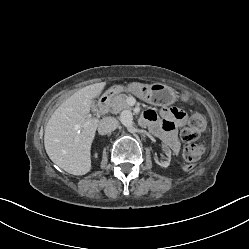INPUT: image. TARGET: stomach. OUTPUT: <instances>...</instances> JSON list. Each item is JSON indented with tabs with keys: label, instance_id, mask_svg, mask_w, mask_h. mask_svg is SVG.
Here are the masks:
<instances>
[{
	"label": "stomach",
	"instance_id": "1",
	"mask_svg": "<svg viewBox=\"0 0 249 249\" xmlns=\"http://www.w3.org/2000/svg\"><path fill=\"white\" fill-rule=\"evenodd\" d=\"M109 91L113 94L126 91L154 106L170 105L177 100L175 91L162 83L145 84L133 82L127 86H111Z\"/></svg>",
	"mask_w": 249,
	"mask_h": 249
}]
</instances>
